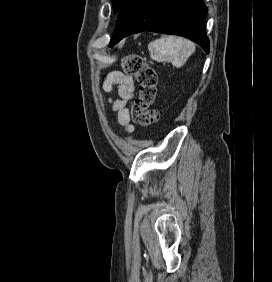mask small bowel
<instances>
[{
    "label": "small bowel",
    "instance_id": "small-bowel-1",
    "mask_svg": "<svg viewBox=\"0 0 272 282\" xmlns=\"http://www.w3.org/2000/svg\"><path fill=\"white\" fill-rule=\"evenodd\" d=\"M117 86L118 98H110L112 110L117 114L118 122L128 133L134 130L131 123L128 106L135 94V85L131 76L121 72H110L103 83V89L109 93Z\"/></svg>",
    "mask_w": 272,
    "mask_h": 282
}]
</instances>
